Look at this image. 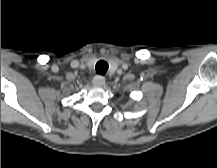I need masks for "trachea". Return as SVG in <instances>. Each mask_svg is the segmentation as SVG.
Listing matches in <instances>:
<instances>
[{"instance_id": "trachea-1", "label": "trachea", "mask_w": 217, "mask_h": 168, "mask_svg": "<svg viewBox=\"0 0 217 168\" xmlns=\"http://www.w3.org/2000/svg\"><path fill=\"white\" fill-rule=\"evenodd\" d=\"M108 67L109 66L106 61L100 60L96 63V66H95L96 73L99 75H104L106 74Z\"/></svg>"}]
</instances>
